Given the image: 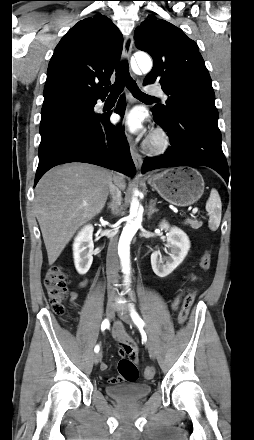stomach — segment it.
<instances>
[{
	"label": "stomach",
	"instance_id": "obj_1",
	"mask_svg": "<svg viewBox=\"0 0 254 440\" xmlns=\"http://www.w3.org/2000/svg\"><path fill=\"white\" fill-rule=\"evenodd\" d=\"M147 181L163 199L176 206L197 202L205 186L202 175L190 167L167 169L149 176Z\"/></svg>",
	"mask_w": 254,
	"mask_h": 440
}]
</instances>
